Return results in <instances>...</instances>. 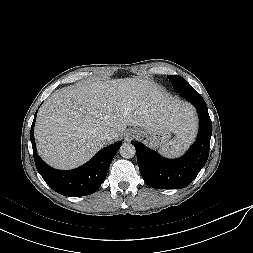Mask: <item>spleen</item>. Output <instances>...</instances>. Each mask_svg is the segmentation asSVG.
Listing matches in <instances>:
<instances>
[{"mask_svg":"<svg viewBox=\"0 0 253 253\" xmlns=\"http://www.w3.org/2000/svg\"><path fill=\"white\" fill-rule=\"evenodd\" d=\"M196 131L197 124L193 115L181 130L176 133V137L160 148V153L167 157L180 156L193 142Z\"/></svg>","mask_w":253,"mask_h":253,"instance_id":"spleen-1","label":"spleen"}]
</instances>
